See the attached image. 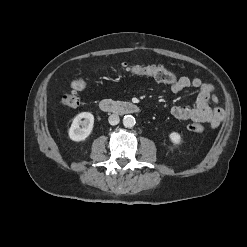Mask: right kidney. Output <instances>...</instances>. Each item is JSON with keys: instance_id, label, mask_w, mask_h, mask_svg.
Wrapping results in <instances>:
<instances>
[{"instance_id": "1", "label": "right kidney", "mask_w": 247, "mask_h": 247, "mask_svg": "<svg viewBox=\"0 0 247 247\" xmlns=\"http://www.w3.org/2000/svg\"><path fill=\"white\" fill-rule=\"evenodd\" d=\"M94 124V116L89 112L78 114L71 124L68 135L73 141H84L92 132ZM82 126V128L80 127Z\"/></svg>"}]
</instances>
